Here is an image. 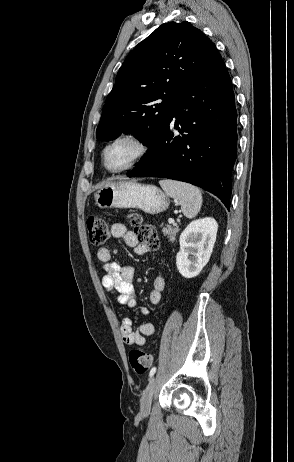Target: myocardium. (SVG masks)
Segmentation results:
<instances>
[{
    "mask_svg": "<svg viewBox=\"0 0 294 462\" xmlns=\"http://www.w3.org/2000/svg\"><path fill=\"white\" fill-rule=\"evenodd\" d=\"M121 141H128L136 147V152L133 157L124 165L118 168H110L106 164V153L116 143ZM151 147L148 139L141 133L135 131H125L108 141L101 151V165L102 167L111 173L124 172L138 166L143 162L150 154Z\"/></svg>",
    "mask_w": 294,
    "mask_h": 462,
    "instance_id": "1",
    "label": "myocardium"
}]
</instances>
